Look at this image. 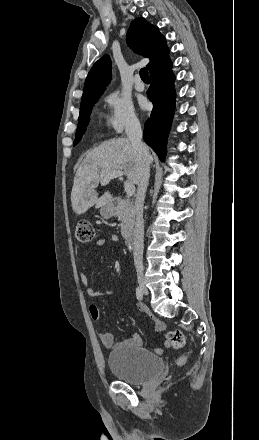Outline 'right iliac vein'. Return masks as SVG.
Returning <instances> with one entry per match:
<instances>
[{"label": "right iliac vein", "mask_w": 259, "mask_h": 440, "mask_svg": "<svg viewBox=\"0 0 259 440\" xmlns=\"http://www.w3.org/2000/svg\"><path fill=\"white\" fill-rule=\"evenodd\" d=\"M137 279H138L139 287H140L142 293H143L144 295H148V289H147V287H146V281H145V278H144V276H143L142 271H138V273H137Z\"/></svg>", "instance_id": "right-iliac-vein-1"}]
</instances>
